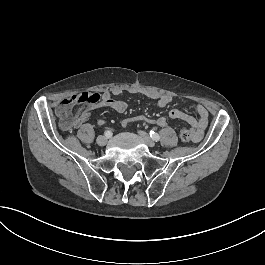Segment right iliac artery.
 <instances>
[{
	"label": "right iliac artery",
	"mask_w": 265,
	"mask_h": 265,
	"mask_svg": "<svg viewBox=\"0 0 265 265\" xmlns=\"http://www.w3.org/2000/svg\"><path fill=\"white\" fill-rule=\"evenodd\" d=\"M104 135L107 137V138H110L112 136V133L110 131H106L104 133Z\"/></svg>",
	"instance_id": "obj_1"
}]
</instances>
